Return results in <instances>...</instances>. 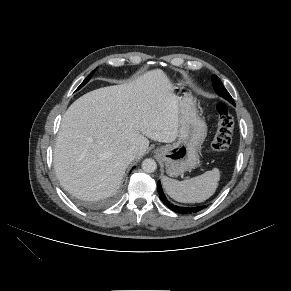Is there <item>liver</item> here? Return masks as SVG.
I'll return each mask as SVG.
<instances>
[{"label":"liver","mask_w":291,"mask_h":291,"mask_svg":"<svg viewBox=\"0 0 291 291\" xmlns=\"http://www.w3.org/2000/svg\"><path fill=\"white\" fill-rule=\"evenodd\" d=\"M160 69L127 84L88 92L62 118L54 149L61 185L86 200L114 195L133 161L124 154L137 147L141 158L149 139L172 143L179 133V98Z\"/></svg>","instance_id":"1"}]
</instances>
